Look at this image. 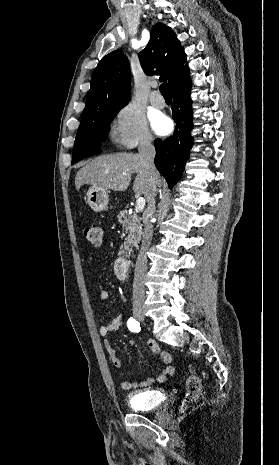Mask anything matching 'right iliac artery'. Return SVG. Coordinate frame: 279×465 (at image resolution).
Wrapping results in <instances>:
<instances>
[{"label":"right iliac artery","mask_w":279,"mask_h":465,"mask_svg":"<svg viewBox=\"0 0 279 465\" xmlns=\"http://www.w3.org/2000/svg\"><path fill=\"white\" fill-rule=\"evenodd\" d=\"M127 326L129 328L130 331L132 332H139L140 331V324L137 320H135L134 318H130L127 322Z\"/></svg>","instance_id":"obj_1"}]
</instances>
